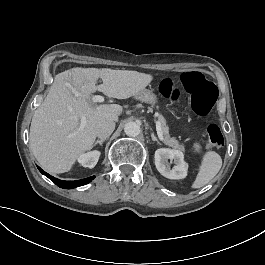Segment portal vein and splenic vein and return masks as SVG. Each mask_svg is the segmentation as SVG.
I'll return each instance as SVG.
<instances>
[{
    "label": "portal vein and splenic vein",
    "instance_id": "18ae733b",
    "mask_svg": "<svg viewBox=\"0 0 265 265\" xmlns=\"http://www.w3.org/2000/svg\"><path fill=\"white\" fill-rule=\"evenodd\" d=\"M95 99L98 102H104V97L101 96V95H97ZM85 124H86V121L85 120H81L80 121V125L77 128V130H76V133L82 132ZM156 130H157V134H158L159 140L162 141V142H164L165 139H164V135H163V131H162V127H161L160 123H157Z\"/></svg>",
    "mask_w": 265,
    "mask_h": 265
}]
</instances>
